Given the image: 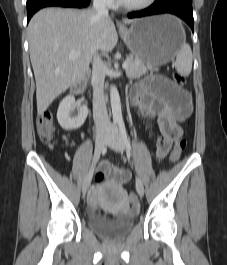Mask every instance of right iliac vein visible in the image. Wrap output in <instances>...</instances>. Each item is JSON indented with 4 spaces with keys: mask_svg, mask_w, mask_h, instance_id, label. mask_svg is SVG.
<instances>
[{
    "mask_svg": "<svg viewBox=\"0 0 227 265\" xmlns=\"http://www.w3.org/2000/svg\"><path fill=\"white\" fill-rule=\"evenodd\" d=\"M108 138V134L105 133V132H101V133H98L96 135V140H95V156H94V164H93V170H94V165L95 163L97 162L103 148H104V145L106 143V140ZM92 175H93V171L88 173V175L86 176L85 180H84V183H83V186H82V192L83 194L85 195V193L87 192L89 186H90V183H91V179H92Z\"/></svg>",
    "mask_w": 227,
    "mask_h": 265,
    "instance_id": "63e3f726",
    "label": "right iliac vein"
}]
</instances>
